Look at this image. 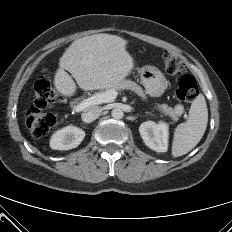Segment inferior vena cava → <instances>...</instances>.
Wrapping results in <instances>:
<instances>
[{"instance_id":"1","label":"inferior vena cava","mask_w":232,"mask_h":232,"mask_svg":"<svg viewBox=\"0 0 232 232\" xmlns=\"http://www.w3.org/2000/svg\"><path fill=\"white\" fill-rule=\"evenodd\" d=\"M102 113V109L99 106H93L86 109L82 114V120L85 123H91L92 121L96 120Z\"/></svg>"}]
</instances>
